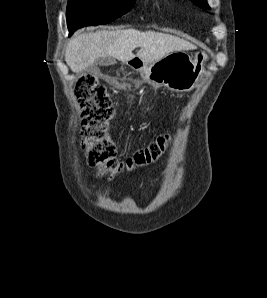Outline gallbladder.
Returning a JSON list of instances; mask_svg holds the SVG:
<instances>
[{
    "instance_id": "bac80fb5",
    "label": "gallbladder",
    "mask_w": 267,
    "mask_h": 298,
    "mask_svg": "<svg viewBox=\"0 0 267 298\" xmlns=\"http://www.w3.org/2000/svg\"><path fill=\"white\" fill-rule=\"evenodd\" d=\"M113 63L111 58H101L95 61L94 66H91L87 69L88 72L93 73L96 69V66H107Z\"/></svg>"
}]
</instances>
